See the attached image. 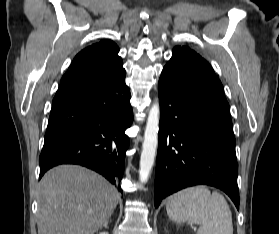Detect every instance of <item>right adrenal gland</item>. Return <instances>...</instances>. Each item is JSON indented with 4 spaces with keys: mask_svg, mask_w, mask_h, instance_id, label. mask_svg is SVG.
Masks as SVG:
<instances>
[{
    "mask_svg": "<svg viewBox=\"0 0 279 234\" xmlns=\"http://www.w3.org/2000/svg\"><path fill=\"white\" fill-rule=\"evenodd\" d=\"M108 226V221L104 224V227H107Z\"/></svg>",
    "mask_w": 279,
    "mask_h": 234,
    "instance_id": "2a0ac1e0",
    "label": "right adrenal gland"
}]
</instances>
